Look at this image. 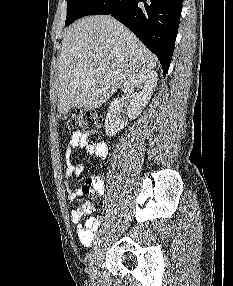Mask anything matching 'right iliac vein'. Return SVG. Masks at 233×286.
<instances>
[{
    "mask_svg": "<svg viewBox=\"0 0 233 286\" xmlns=\"http://www.w3.org/2000/svg\"><path fill=\"white\" fill-rule=\"evenodd\" d=\"M102 259L101 242L98 241L94 247V251L91 256V267H90V277L92 280L97 278V273L100 267Z\"/></svg>",
    "mask_w": 233,
    "mask_h": 286,
    "instance_id": "right-iliac-vein-1",
    "label": "right iliac vein"
}]
</instances>
